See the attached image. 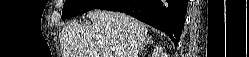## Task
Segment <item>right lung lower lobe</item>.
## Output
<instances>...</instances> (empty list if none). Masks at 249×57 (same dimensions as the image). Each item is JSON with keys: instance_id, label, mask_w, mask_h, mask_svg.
<instances>
[{"instance_id": "1", "label": "right lung lower lobe", "mask_w": 249, "mask_h": 57, "mask_svg": "<svg viewBox=\"0 0 249 57\" xmlns=\"http://www.w3.org/2000/svg\"><path fill=\"white\" fill-rule=\"evenodd\" d=\"M187 0H109L98 9L120 11L163 32L177 46L184 26Z\"/></svg>"}]
</instances>
